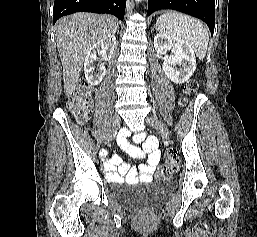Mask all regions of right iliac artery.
I'll return each mask as SVG.
<instances>
[{"label": "right iliac artery", "mask_w": 257, "mask_h": 237, "mask_svg": "<svg viewBox=\"0 0 257 237\" xmlns=\"http://www.w3.org/2000/svg\"><path fill=\"white\" fill-rule=\"evenodd\" d=\"M100 154H101V155H105L106 152H105L104 150H102V151L100 152Z\"/></svg>", "instance_id": "82829eb1"}]
</instances>
